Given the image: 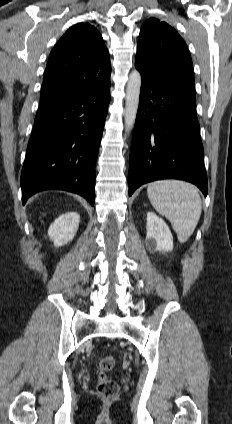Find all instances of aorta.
<instances>
[{
    "label": "aorta",
    "instance_id": "762f6f07",
    "mask_svg": "<svg viewBox=\"0 0 232 424\" xmlns=\"http://www.w3.org/2000/svg\"><path fill=\"white\" fill-rule=\"evenodd\" d=\"M140 87L141 75L138 71L134 70L130 73L126 87L125 130L127 133L131 131L135 123L139 105Z\"/></svg>",
    "mask_w": 232,
    "mask_h": 424
}]
</instances>
